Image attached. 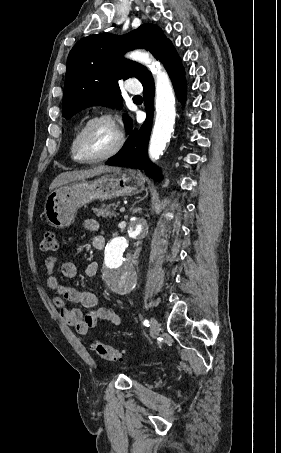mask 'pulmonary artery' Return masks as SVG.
I'll list each match as a JSON object with an SVG mask.
<instances>
[{
	"mask_svg": "<svg viewBox=\"0 0 281 453\" xmlns=\"http://www.w3.org/2000/svg\"><path fill=\"white\" fill-rule=\"evenodd\" d=\"M125 89L128 90L131 93H135V92L131 91L129 88H125Z\"/></svg>",
	"mask_w": 281,
	"mask_h": 453,
	"instance_id": "e3ab8cb5",
	"label": "pulmonary artery"
}]
</instances>
